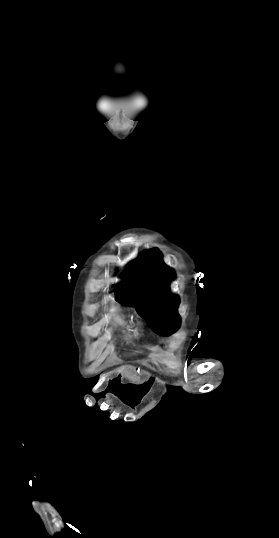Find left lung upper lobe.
<instances>
[{
	"label": "left lung upper lobe",
	"mask_w": 279,
	"mask_h": 538,
	"mask_svg": "<svg viewBox=\"0 0 279 538\" xmlns=\"http://www.w3.org/2000/svg\"><path fill=\"white\" fill-rule=\"evenodd\" d=\"M117 286L116 300L136 307L138 314L158 334L168 335L180 326L179 303L169 290L172 275L157 249L141 253L128 265Z\"/></svg>",
	"instance_id": "left-lung-upper-lobe-1"
}]
</instances>
